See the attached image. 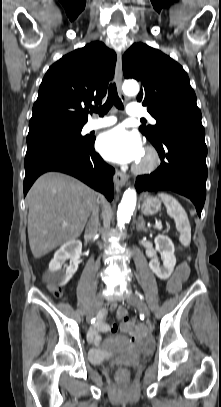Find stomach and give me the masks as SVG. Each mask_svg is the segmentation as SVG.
I'll use <instances>...</instances> for the list:
<instances>
[{"instance_id": "0dacf381", "label": "stomach", "mask_w": 221, "mask_h": 407, "mask_svg": "<svg viewBox=\"0 0 221 407\" xmlns=\"http://www.w3.org/2000/svg\"><path fill=\"white\" fill-rule=\"evenodd\" d=\"M161 208V201L152 196H145L141 211L145 215L156 214Z\"/></svg>"}]
</instances>
